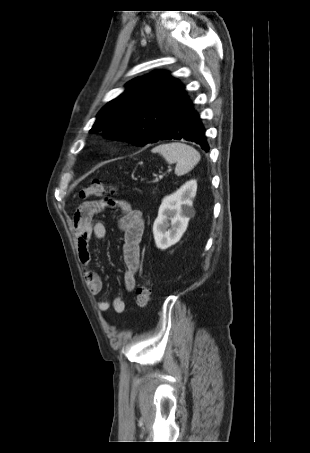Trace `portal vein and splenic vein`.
<instances>
[{
	"instance_id": "portal-vein-and-splenic-vein-1",
	"label": "portal vein and splenic vein",
	"mask_w": 310,
	"mask_h": 453,
	"mask_svg": "<svg viewBox=\"0 0 310 453\" xmlns=\"http://www.w3.org/2000/svg\"><path fill=\"white\" fill-rule=\"evenodd\" d=\"M170 170H171V169H169V171H170ZM162 177H163V175H160V176H159V178H162Z\"/></svg>"
}]
</instances>
